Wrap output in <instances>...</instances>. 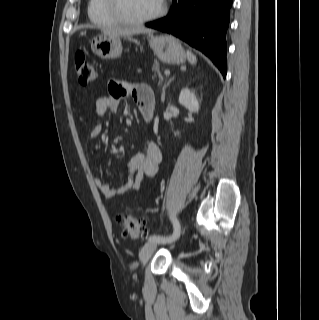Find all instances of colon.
<instances>
[{
	"label": "colon",
	"mask_w": 319,
	"mask_h": 320,
	"mask_svg": "<svg viewBox=\"0 0 319 320\" xmlns=\"http://www.w3.org/2000/svg\"><path fill=\"white\" fill-rule=\"evenodd\" d=\"M77 79L80 84L88 85L94 81L96 70L83 52H77L74 58ZM116 221L125 237L147 236L148 228L143 220L129 213L119 214Z\"/></svg>",
	"instance_id": "colon-1"
}]
</instances>
